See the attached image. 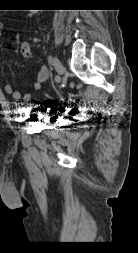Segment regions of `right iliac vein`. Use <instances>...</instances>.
I'll use <instances>...</instances> for the list:
<instances>
[{"mask_svg": "<svg viewBox=\"0 0 138 253\" xmlns=\"http://www.w3.org/2000/svg\"><path fill=\"white\" fill-rule=\"evenodd\" d=\"M53 63H54V67H55L56 72L59 75L63 74L64 67H63L62 62L57 57H55L54 60H53Z\"/></svg>", "mask_w": 138, "mask_h": 253, "instance_id": "1", "label": "right iliac vein"}]
</instances>
